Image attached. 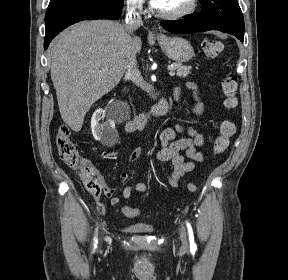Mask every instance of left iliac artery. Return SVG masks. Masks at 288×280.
Instances as JSON below:
<instances>
[{"instance_id": "obj_1", "label": "left iliac artery", "mask_w": 288, "mask_h": 280, "mask_svg": "<svg viewBox=\"0 0 288 280\" xmlns=\"http://www.w3.org/2000/svg\"><path fill=\"white\" fill-rule=\"evenodd\" d=\"M186 226H187V230H188V234H189L190 249L192 251H196L197 246H196L195 241H194V235H193L192 227H191L189 222H186Z\"/></svg>"}]
</instances>
